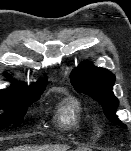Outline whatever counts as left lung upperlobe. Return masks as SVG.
Returning a JSON list of instances; mask_svg holds the SVG:
<instances>
[{
    "mask_svg": "<svg viewBox=\"0 0 131 151\" xmlns=\"http://www.w3.org/2000/svg\"><path fill=\"white\" fill-rule=\"evenodd\" d=\"M115 76L107 69L82 63L71 74V83L79 92L85 93L102 105L105 115L112 122L124 126L115 114L118 99L112 88Z\"/></svg>",
    "mask_w": 131,
    "mask_h": 151,
    "instance_id": "5c2ea615",
    "label": "left lung upper lobe"
}]
</instances>
